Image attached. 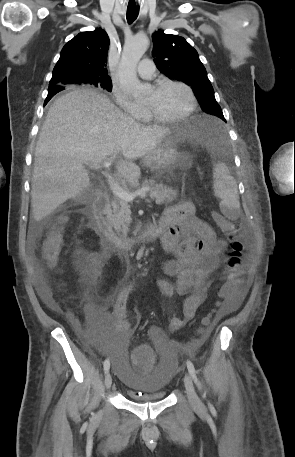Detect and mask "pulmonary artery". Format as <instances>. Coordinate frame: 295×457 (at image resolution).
<instances>
[{
  "label": "pulmonary artery",
  "mask_w": 295,
  "mask_h": 457,
  "mask_svg": "<svg viewBox=\"0 0 295 457\" xmlns=\"http://www.w3.org/2000/svg\"><path fill=\"white\" fill-rule=\"evenodd\" d=\"M137 73L142 78L151 79L155 74V65L153 61L147 58L143 59L137 67Z\"/></svg>",
  "instance_id": "obj_1"
}]
</instances>
